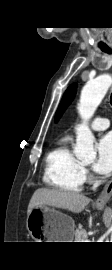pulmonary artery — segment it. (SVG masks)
Wrapping results in <instances>:
<instances>
[{"instance_id":"1","label":"pulmonary artery","mask_w":112,"mask_h":270,"mask_svg":"<svg viewBox=\"0 0 112 270\" xmlns=\"http://www.w3.org/2000/svg\"><path fill=\"white\" fill-rule=\"evenodd\" d=\"M109 125L110 122L107 118L97 117L91 122L90 127L93 130L101 131L107 129Z\"/></svg>"}]
</instances>
